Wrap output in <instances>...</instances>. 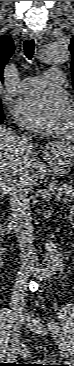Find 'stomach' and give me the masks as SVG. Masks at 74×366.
Listing matches in <instances>:
<instances>
[{
    "mask_svg": "<svg viewBox=\"0 0 74 366\" xmlns=\"http://www.w3.org/2000/svg\"><path fill=\"white\" fill-rule=\"evenodd\" d=\"M48 157L54 161L56 167H59L60 165H64L65 167H67L68 164H70L69 163L70 161L68 159L69 158L68 153H66L61 149H57L51 152V154H49Z\"/></svg>",
    "mask_w": 74,
    "mask_h": 366,
    "instance_id": "obj_1",
    "label": "stomach"
}]
</instances>
